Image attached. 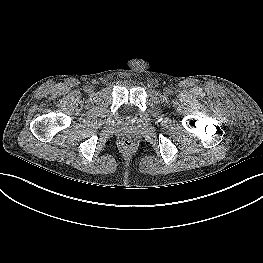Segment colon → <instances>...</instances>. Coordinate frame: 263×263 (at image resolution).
<instances>
[{"instance_id":"5ec220e1","label":"colon","mask_w":263,"mask_h":263,"mask_svg":"<svg viewBox=\"0 0 263 263\" xmlns=\"http://www.w3.org/2000/svg\"><path fill=\"white\" fill-rule=\"evenodd\" d=\"M130 144H131V141L128 140V139H125V140L122 141V145H124V146H128Z\"/></svg>"}]
</instances>
